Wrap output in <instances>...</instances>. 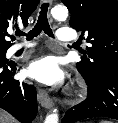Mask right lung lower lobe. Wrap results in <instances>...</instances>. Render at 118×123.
<instances>
[{
  "mask_svg": "<svg viewBox=\"0 0 118 123\" xmlns=\"http://www.w3.org/2000/svg\"><path fill=\"white\" fill-rule=\"evenodd\" d=\"M16 64H0V107L21 123H31L37 113L34 86L13 79Z\"/></svg>",
  "mask_w": 118,
  "mask_h": 123,
  "instance_id": "1",
  "label": "right lung lower lobe"
}]
</instances>
